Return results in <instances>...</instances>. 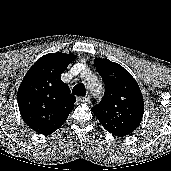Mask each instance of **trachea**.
Returning <instances> with one entry per match:
<instances>
[{"mask_svg": "<svg viewBox=\"0 0 171 171\" xmlns=\"http://www.w3.org/2000/svg\"><path fill=\"white\" fill-rule=\"evenodd\" d=\"M72 93L77 96L84 97L86 95V90H85L84 85L82 84L75 85L74 88L72 89Z\"/></svg>", "mask_w": 171, "mask_h": 171, "instance_id": "trachea-1", "label": "trachea"}]
</instances>
